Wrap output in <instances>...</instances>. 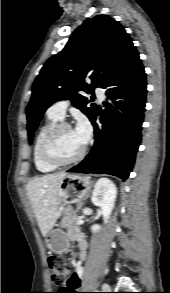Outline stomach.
<instances>
[{"mask_svg":"<svg viewBox=\"0 0 170 293\" xmlns=\"http://www.w3.org/2000/svg\"><path fill=\"white\" fill-rule=\"evenodd\" d=\"M91 178L79 174H67L59 187L58 205L81 203L89 195ZM47 247L56 254L64 253L69 246L67 235L61 229L51 230L46 238Z\"/></svg>","mask_w":170,"mask_h":293,"instance_id":"1","label":"stomach"}]
</instances>
